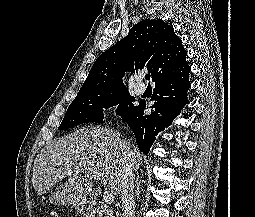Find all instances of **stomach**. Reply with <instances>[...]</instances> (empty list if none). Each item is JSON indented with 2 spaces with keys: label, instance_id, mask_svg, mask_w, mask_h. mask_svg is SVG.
<instances>
[{
  "label": "stomach",
  "instance_id": "1",
  "mask_svg": "<svg viewBox=\"0 0 255 217\" xmlns=\"http://www.w3.org/2000/svg\"><path fill=\"white\" fill-rule=\"evenodd\" d=\"M84 205H85V203H83V202L75 204L74 205L75 211L77 213L78 212H80V213L84 212Z\"/></svg>",
  "mask_w": 255,
  "mask_h": 217
}]
</instances>
